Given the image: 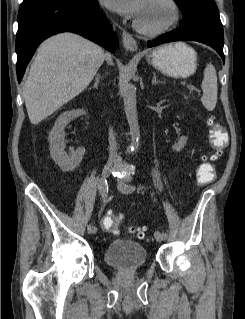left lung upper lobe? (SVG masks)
<instances>
[{"instance_id":"1","label":"left lung upper lobe","mask_w":245,"mask_h":319,"mask_svg":"<svg viewBox=\"0 0 245 319\" xmlns=\"http://www.w3.org/2000/svg\"><path fill=\"white\" fill-rule=\"evenodd\" d=\"M183 13L181 24L205 22L223 30L214 0H175Z\"/></svg>"}]
</instances>
